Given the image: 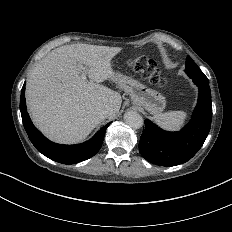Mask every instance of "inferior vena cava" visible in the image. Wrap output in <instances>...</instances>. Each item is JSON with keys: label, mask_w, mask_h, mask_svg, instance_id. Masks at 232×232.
I'll return each mask as SVG.
<instances>
[{"label": "inferior vena cava", "mask_w": 232, "mask_h": 232, "mask_svg": "<svg viewBox=\"0 0 232 232\" xmlns=\"http://www.w3.org/2000/svg\"><path fill=\"white\" fill-rule=\"evenodd\" d=\"M101 116L106 117L111 114V109L109 106H104L99 110Z\"/></svg>", "instance_id": "obj_1"}]
</instances>
